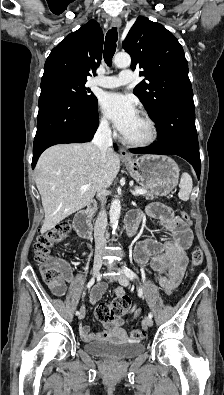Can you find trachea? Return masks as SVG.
Segmentation results:
<instances>
[{
    "label": "trachea",
    "mask_w": 224,
    "mask_h": 395,
    "mask_svg": "<svg viewBox=\"0 0 224 395\" xmlns=\"http://www.w3.org/2000/svg\"><path fill=\"white\" fill-rule=\"evenodd\" d=\"M118 33L116 28H112L106 34L104 45V60L108 66L112 65V58L116 50Z\"/></svg>",
    "instance_id": "obj_1"
}]
</instances>
